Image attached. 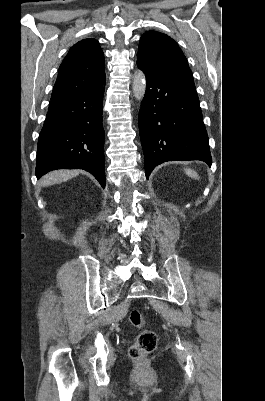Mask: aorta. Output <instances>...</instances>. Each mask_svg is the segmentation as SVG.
Instances as JSON below:
<instances>
[{
  "mask_svg": "<svg viewBox=\"0 0 265 401\" xmlns=\"http://www.w3.org/2000/svg\"><path fill=\"white\" fill-rule=\"evenodd\" d=\"M132 88L133 96H135L137 100H142L146 90V78L142 70H135Z\"/></svg>",
  "mask_w": 265,
  "mask_h": 401,
  "instance_id": "obj_1",
  "label": "aorta"
}]
</instances>
